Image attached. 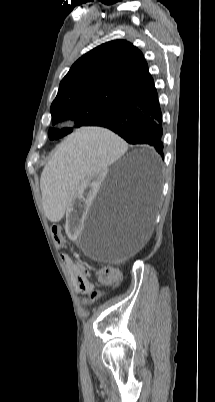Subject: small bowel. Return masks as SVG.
I'll return each instance as SVG.
<instances>
[{
  "mask_svg": "<svg viewBox=\"0 0 215 402\" xmlns=\"http://www.w3.org/2000/svg\"><path fill=\"white\" fill-rule=\"evenodd\" d=\"M76 287L81 293H88L92 290V284L86 274L75 276Z\"/></svg>",
  "mask_w": 215,
  "mask_h": 402,
  "instance_id": "1",
  "label": "small bowel"
}]
</instances>
